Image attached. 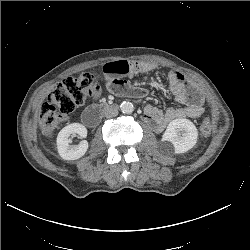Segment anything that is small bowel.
<instances>
[{
	"instance_id": "small-bowel-1",
	"label": "small bowel",
	"mask_w": 250,
	"mask_h": 250,
	"mask_svg": "<svg viewBox=\"0 0 250 250\" xmlns=\"http://www.w3.org/2000/svg\"><path fill=\"white\" fill-rule=\"evenodd\" d=\"M154 69L150 63L114 61L106 63L99 76L108 90L117 95L131 97H144L147 90L140 87L130 86L124 77L134 76L139 73H147ZM168 89L175 101L182 104L181 107H169L165 111L153 105L145 108V119L147 123L157 132L163 131L173 120L181 118H197L204 112V99L197 87L187 81L185 76L171 70L168 74ZM100 95V87L94 85L93 97Z\"/></svg>"
}]
</instances>
